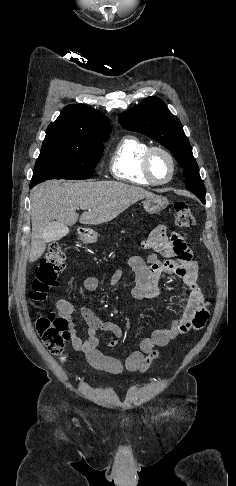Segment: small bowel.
Masks as SVG:
<instances>
[{
    "mask_svg": "<svg viewBox=\"0 0 236 486\" xmlns=\"http://www.w3.org/2000/svg\"><path fill=\"white\" fill-rule=\"evenodd\" d=\"M143 247L154 252L146 260L140 256H132L129 265L135 274V285L130 290L136 299H153L160 293L159 280L161 275L167 274L180 278L186 291L180 293L183 307L178 309V316L169 327L156 328L149 337L140 341L139 349L132 352L124 362L105 355L98 349L99 332H108L120 338L123 329L119 324L101 320L87 306L80 307V314L87 324V336L78 335L73 321L74 306L65 299L56 302V309L60 318L67 322L71 336L72 347L85 354L88 363L95 369L110 374L122 372L143 373L159 357V348L166 346L170 340L191 330H200L206 324L209 313L207 302L198 285V265L192 258L191 250L177 235H168L165 225L155 228L144 241ZM161 255L163 258H159ZM122 277L117 270L109 281V286H116ZM100 286L97 277H88L84 280L83 289L95 291ZM116 341H110L109 347H114Z\"/></svg>",
    "mask_w": 236,
    "mask_h": 486,
    "instance_id": "c3829d8e",
    "label": "small bowel"
}]
</instances>
